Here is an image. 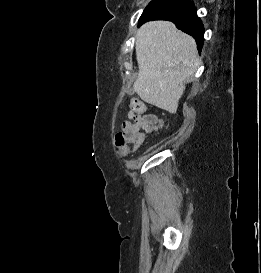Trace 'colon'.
<instances>
[{"label":"colon","instance_id":"colon-1","mask_svg":"<svg viewBox=\"0 0 261 273\" xmlns=\"http://www.w3.org/2000/svg\"><path fill=\"white\" fill-rule=\"evenodd\" d=\"M130 108L135 120L146 115V106L139 99H132ZM144 140L145 134L138 129H134L132 125L128 129H122L115 135V145L123 155L137 151L144 143Z\"/></svg>","mask_w":261,"mask_h":273}]
</instances>
